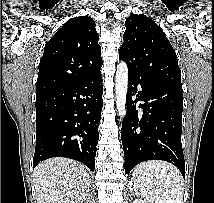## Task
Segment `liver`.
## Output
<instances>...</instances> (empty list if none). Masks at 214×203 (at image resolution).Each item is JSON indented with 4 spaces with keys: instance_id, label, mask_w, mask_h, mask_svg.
<instances>
[{
    "instance_id": "liver-1",
    "label": "liver",
    "mask_w": 214,
    "mask_h": 203,
    "mask_svg": "<svg viewBox=\"0 0 214 203\" xmlns=\"http://www.w3.org/2000/svg\"><path fill=\"white\" fill-rule=\"evenodd\" d=\"M37 203H82L90 184L86 167L68 158H51L33 172Z\"/></svg>"
}]
</instances>
